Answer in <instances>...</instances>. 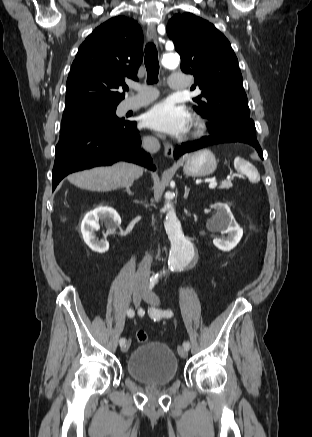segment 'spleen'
I'll return each mask as SVG.
<instances>
[{
  "mask_svg": "<svg viewBox=\"0 0 312 437\" xmlns=\"http://www.w3.org/2000/svg\"><path fill=\"white\" fill-rule=\"evenodd\" d=\"M234 166L238 171L248 175L253 181H259V176L250 169L249 163L243 158L236 157L234 160Z\"/></svg>",
  "mask_w": 312,
  "mask_h": 437,
  "instance_id": "1",
  "label": "spleen"
}]
</instances>
